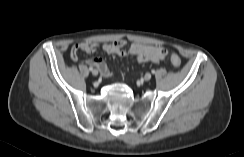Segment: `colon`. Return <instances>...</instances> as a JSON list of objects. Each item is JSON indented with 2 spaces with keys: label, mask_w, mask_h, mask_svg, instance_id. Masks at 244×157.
<instances>
[{
  "label": "colon",
  "mask_w": 244,
  "mask_h": 157,
  "mask_svg": "<svg viewBox=\"0 0 244 157\" xmlns=\"http://www.w3.org/2000/svg\"><path fill=\"white\" fill-rule=\"evenodd\" d=\"M170 60L171 63L175 66V67H179L181 65V59L178 55L176 54H171L170 56Z\"/></svg>",
  "instance_id": "colon-1"
}]
</instances>
